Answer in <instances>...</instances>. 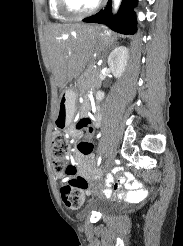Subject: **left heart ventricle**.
I'll return each instance as SVG.
<instances>
[{
    "mask_svg": "<svg viewBox=\"0 0 183 246\" xmlns=\"http://www.w3.org/2000/svg\"><path fill=\"white\" fill-rule=\"evenodd\" d=\"M71 6L77 11H85L91 8L97 0H69Z\"/></svg>",
    "mask_w": 183,
    "mask_h": 246,
    "instance_id": "obj_1",
    "label": "left heart ventricle"
}]
</instances>
